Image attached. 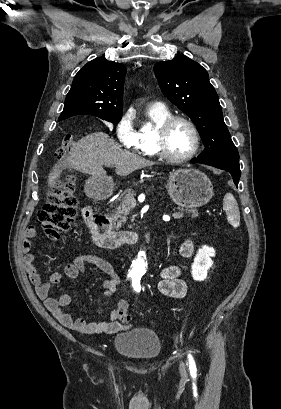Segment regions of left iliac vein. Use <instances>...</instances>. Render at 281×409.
I'll use <instances>...</instances> for the list:
<instances>
[{"label":"left iliac vein","mask_w":281,"mask_h":409,"mask_svg":"<svg viewBox=\"0 0 281 409\" xmlns=\"http://www.w3.org/2000/svg\"><path fill=\"white\" fill-rule=\"evenodd\" d=\"M180 372L183 376L187 375L186 365L183 361L180 362Z\"/></svg>","instance_id":"left-iliac-vein-1"}]
</instances>
